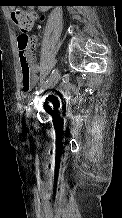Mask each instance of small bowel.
Listing matches in <instances>:
<instances>
[{"label":"small bowel","instance_id":"obj_1","mask_svg":"<svg viewBox=\"0 0 122 218\" xmlns=\"http://www.w3.org/2000/svg\"><path fill=\"white\" fill-rule=\"evenodd\" d=\"M30 64H31V72L33 76V85H36L39 81V73L41 71V68H40V65L35 62V58L33 54H31ZM64 94L65 95L69 94L68 89L64 90Z\"/></svg>","mask_w":122,"mask_h":218}]
</instances>
